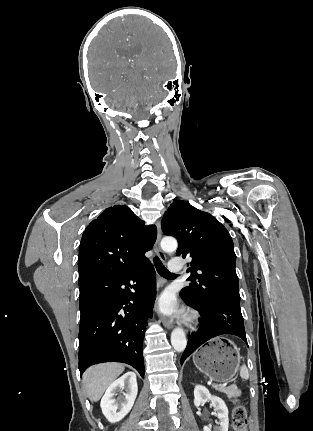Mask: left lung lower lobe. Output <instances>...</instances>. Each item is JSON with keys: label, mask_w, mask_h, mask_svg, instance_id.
Listing matches in <instances>:
<instances>
[{"label": "left lung lower lobe", "mask_w": 313, "mask_h": 431, "mask_svg": "<svg viewBox=\"0 0 313 431\" xmlns=\"http://www.w3.org/2000/svg\"><path fill=\"white\" fill-rule=\"evenodd\" d=\"M186 304L199 311L201 327L188 336V344L181 357V364L199 346L218 335H236L247 344L240 304L229 302H210L202 306H193L188 302Z\"/></svg>", "instance_id": "left-lung-lower-lobe-1"}]
</instances>
